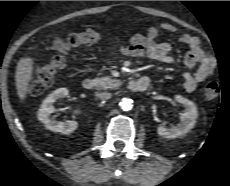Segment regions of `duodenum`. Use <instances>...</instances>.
<instances>
[{
    "mask_svg": "<svg viewBox=\"0 0 230 186\" xmlns=\"http://www.w3.org/2000/svg\"><path fill=\"white\" fill-rule=\"evenodd\" d=\"M129 89L133 92H142L148 88L150 85V79L147 77H141L138 79H133L129 82ZM83 89L91 91L95 88V81L92 78H87L82 83Z\"/></svg>",
    "mask_w": 230,
    "mask_h": 186,
    "instance_id": "410a0bca",
    "label": "duodenum"
}]
</instances>
